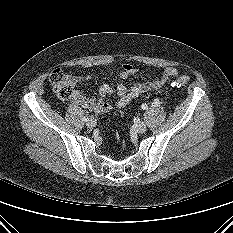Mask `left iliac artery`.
Here are the masks:
<instances>
[{
	"instance_id": "44dca946",
	"label": "left iliac artery",
	"mask_w": 233,
	"mask_h": 233,
	"mask_svg": "<svg viewBox=\"0 0 233 233\" xmlns=\"http://www.w3.org/2000/svg\"><path fill=\"white\" fill-rule=\"evenodd\" d=\"M159 104H160V102L157 101V100H156L154 103H152L153 106H158ZM141 108H142L143 110H145V109H148V106H147L146 103H143V104L141 105Z\"/></svg>"
}]
</instances>
